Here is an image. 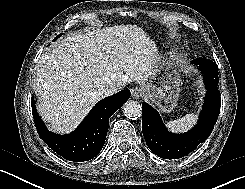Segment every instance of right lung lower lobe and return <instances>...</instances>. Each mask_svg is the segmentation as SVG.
<instances>
[{
  "label": "right lung lower lobe",
  "instance_id": "obj_1",
  "mask_svg": "<svg viewBox=\"0 0 245 189\" xmlns=\"http://www.w3.org/2000/svg\"><path fill=\"white\" fill-rule=\"evenodd\" d=\"M130 97L129 90H122L99 101L82 123L68 135L49 132L36 112L32 100V113L39 136L44 142L63 158L82 162L98 155L102 150L108 132L109 118Z\"/></svg>",
  "mask_w": 245,
  "mask_h": 189
}]
</instances>
